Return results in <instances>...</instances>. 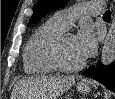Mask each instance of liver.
Listing matches in <instances>:
<instances>
[{
	"label": "liver",
	"instance_id": "liver-1",
	"mask_svg": "<svg viewBox=\"0 0 115 99\" xmlns=\"http://www.w3.org/2000/svg\"><path fill=\"white\" fill-rule=\"evenodd\" d=\"M75 83L73 76H41L19 80L15 86L17 99H57Z\"/></svg>",
	"mask_w": 115,
	"mask_h": 99
}]
</instances>
